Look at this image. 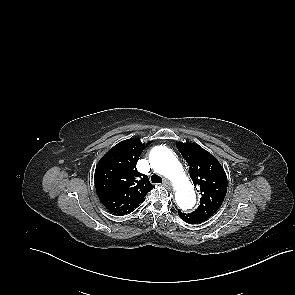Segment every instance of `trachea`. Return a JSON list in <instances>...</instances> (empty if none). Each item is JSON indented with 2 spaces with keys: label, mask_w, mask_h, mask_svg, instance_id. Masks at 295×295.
Returning a JSON list of instances; mask_svg holds the SVG:
<instances>
[{
  "label": "trachea",
  "mask_w": 295,
  "mask_h": 295,
  "mask_svg": "<svg viewBox=\"0 0 295 295\" xmlns=\"http://www.w3.org/2000/svg\"><path fill=\"white\" fill-rule=\"evenodd\" d=\"M151 181L153 183H162V178L156 174L151 176Z\"/></svg>",
  "instance_id": "3493384b"
}]
</instances>
